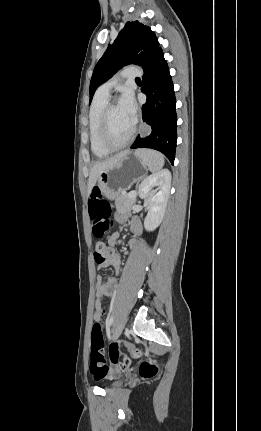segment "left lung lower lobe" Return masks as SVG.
I'll list each match as a JSON object with an SVG mask.
<instances>
[{
    "label": "left lung lower lobe",
    "instance_id": "obj_1",
    "mask_svg": "<svg viewBox=\"0 0 261 431\" xmlns=\"http://www.w3.org/2000/svg\"><path fill=\"white\" fill-rule=\"evenodd\" d=\"M143 87L147 101L142 106L143 122L149 125L147 136H138L131 146L162 152L174 164L177 141L176 100L172 79L159 48L147 62Z\"/></svg>",
    "mask_w": 261,
    "mask_h": 431
}]
</instances>
